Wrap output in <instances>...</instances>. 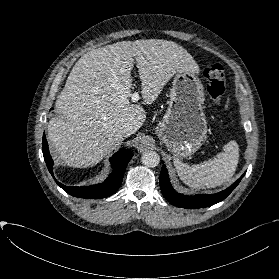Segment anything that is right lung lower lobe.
Here are the masks:
<instances>
[{"mask_svg":"<svg viewBox=\"0 0 279 279\" xmlns=\"http://www.w3.org/2000/svg\"><path fill=\"white\" fill-rule=\"evenodd\" d=\"M42 152L48 167L49 172L54 177L52 172L53 160L49 154L48 143L45 135H43L42 141ZM133 154L130 150H119L111 158L110 162L113 167V172L110 177H108L103 183L91 185V186H81V187H70L65 186L58 182L55 178L57 184L64 189L68 194L85 199H100L114 194L120 187L123 179L125 169L128 162L132 158Z\"/></svg>","mask_w":279,"mask_h":279,"instance_id":"obj_1","label":"right lung lower lobe"}]
</instances>
